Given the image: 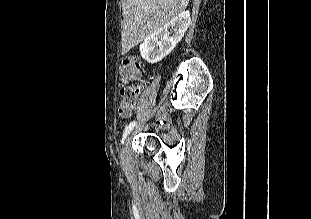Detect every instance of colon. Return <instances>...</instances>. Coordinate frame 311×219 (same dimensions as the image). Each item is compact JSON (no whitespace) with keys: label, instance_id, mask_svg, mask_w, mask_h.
I'll use <instances>...</instances> for the list:
<instances>
[{"label":"colon","instance_id":"obj_1","mask_svg":"<svg viewBox=\"0 0 311 219\" xmlns=\"http://www.w3.org/2000/svg\"><path fill=\"white\" fill-rule=\"evenodd\" d=\"M143 71V64L137 57H125L119 62L120 91L125 108L134 106L138 100L140 88L131 83L137 80Z\"/></svg>","mask_w":311,"mask_h":219}]
</instances>
